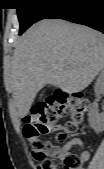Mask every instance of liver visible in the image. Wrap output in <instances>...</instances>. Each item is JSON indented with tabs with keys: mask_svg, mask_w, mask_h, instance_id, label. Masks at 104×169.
I'll return each mask as SVG.
<instances>
[{
	"mask_svg": "<svg viewBox=\"0 0 104 169\" xmlns=\"http://www.w3.org/2000/svg\"><path fill=\"white\" fill-rule=\"evenodd\" d=\"M104 67V35L62 19H44L18 40L6 85L20 117L46 85L67 93L88 87Z\"/></svg>",
	"mask_w": 104,
	"mask_h": 169,
	"instance_id": "obj_1",
	"label": "liver"
}]
</instances>
